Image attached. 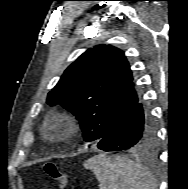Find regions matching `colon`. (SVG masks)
Instances as JSON below:
<instances>
[{"label":"colon","instance_id":"colon-1","mask_svg":"<svg viewBox=\"0 0 188 189\" xmlns=\"http://www.w3.org/2000/svg\"><path fill=\"white\" fill-rule=\"evenodd\" d=\"M43 172L51 179L57 182L55 189H65L67 185V175L55 162H45L42 165Z\"/></svg>","mask_w":188,"mask_h":189}]
</instances>
